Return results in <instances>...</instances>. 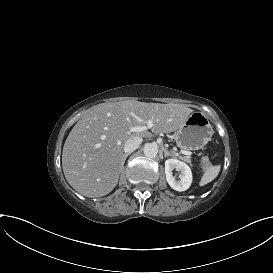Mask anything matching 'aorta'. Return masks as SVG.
Returning <instances> with one entry per match:
<instances>
[{
    "label": "aorta",
    "mask_w": 273,
    "mask_h": 273,
    "mask_svg": "<svg viewBox=\"0 0 273 273\" xmlns=\"http://www.w3.org/2000/svg\"><path fill=\"white\" fill-rule=\"evenodd\" d=\"M143 151H144V155L149 158H154L158 154V148L153 143L145 144Z\"/></svg>",
    "instance_id": "762f6f07"
}]
</instances>
